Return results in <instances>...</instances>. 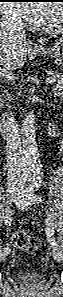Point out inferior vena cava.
I'll return each instance as SVG.
<instances>
[{"mask_svg":"<svg viewBox=\"0 0 63 297\" xmlns=\"http://www.w3.org/2000/svg\"><path fill=\"white\" fill-rule=\"evenodd\" d=\"M7 31L18 37L26 38L21 19L14 14H4L1 18V33H6ZM5 117L7 166L13 174L20 177L24 172H26V168L25 160L22 155L18 125L15 121L13 112L10 111V109L8 113L4 114V118Z\"/></svg>","mask_w":63,"mask_h":297,"instance_id":"602c4592","label":"inferior vena cava"}]
</instances>
